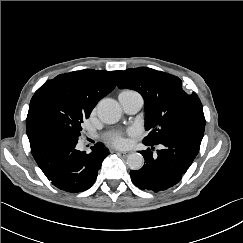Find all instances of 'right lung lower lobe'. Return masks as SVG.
I'll list each match as a JSON object with an SVG mask.
<instances>
[{"mask_svg": "<svg viewBox=\"0 0 243 243\" xmlns=\"http://www.w3.org/2000/svg\"><path fill=\"white\" fill-rule=\"evenodd\" d=\"M31 153L39 168L57 188L82 192L95 182L108 151L100 143L87 154L76 149L78 138L49 122L26 123Z\"/></svg>", "mask_w": 243, "mask_h": 243, "instance_id": "1", "label": "right lung lower lobe"}]
</instances>
